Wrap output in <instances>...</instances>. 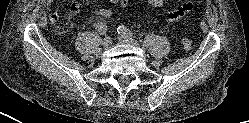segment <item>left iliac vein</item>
I'll return each mask as SVG.
<instances>
[{
	"instance_id": "1",
	"label": "left iliac vein",
	"mask_w": 249,
	"mask_h": 123,
	"mask_svg": "<svg viewBox=\"0 0 249 123\" xmlns=\"http://www.w3.org/2000/svg\"><path fill=\"white\" fill-rule=\"evenodd\" d=\"M120 35V40L124 43H129V44H132V45H138V42L135 38L133 37H129V36H126L122 33H119Z\"/></svg>"
}]
</instances>
